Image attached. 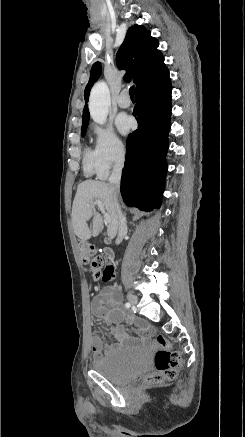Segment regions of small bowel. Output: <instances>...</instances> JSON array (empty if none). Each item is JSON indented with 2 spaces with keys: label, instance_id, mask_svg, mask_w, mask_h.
Here are the masks:
<instances>
[{
  "label": "small bowel",
  "instance_id": "obj_1",
  "mask_svg": "<svg viewBox=\"0 0 245 437\" xmlns=\"http://www.w3.org/2000/svg\"><path fill=\"white\" fill-rule=\"evenodd\" d=\"M91 313L95 318L105 321L111 326V334L121 345L135 343V340L127 335L123 327V322H134V318L127 315L119 306L118 292L114 287L104 288L94 299L91 304ZM140 331L143 334L149 332L146 324H139ZM117 346L104 345L101 338L93 335L91 338V351L95 358H100L103 351H110Z\"/></svg>",
  "mask_w": 245,
  "mask_h": 437
}]
</instances>
